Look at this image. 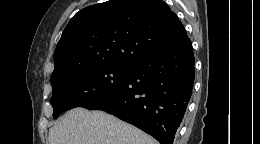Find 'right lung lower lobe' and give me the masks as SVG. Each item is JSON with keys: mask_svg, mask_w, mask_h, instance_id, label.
Returning a JSON list of instances; mask_svg holds the SVG:
<instances>
[{"mask_svg": "<svg viewBox=\"0 0 260 144\" xmlns=\"http://www.w3.org/2000/svg\"><path fill=\"white\" fill-rule=\"evenodd\" d=\"M195 59L191 40L149 55L129 67L125 84L89 110H103L173 144L192 95Z\"/></svg>", "mask_w": 260, "mask_h": 144, "instance_id": "right-lung-lower-lobe-1", "label": "right lung lower lobe"}]
</instances>
